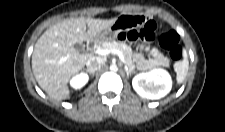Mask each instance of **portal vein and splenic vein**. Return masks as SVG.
<instances>
[{
  "label": "portal vein and splenic vein",
  "mask_w": 225,
  "mask_h": 132,
  "mask_svg": "<svg viewBox=\"0 0 225 132\" xmlns=\"http://www.w3.org/2000/svg\"><path fill=\"white\" fill-rule=\"evenodd\" d=\"M94 52L96 54H98V55H101V56H106V55H108L110 53L116 54L119 57V59L125 64V58H124L122 52L119 51V50H116V49H101V48H99V49L95 50Z\"/></svg>",
  "instance_id": "portal-vein-and-splenic-vein-1"
}]
</instances>
